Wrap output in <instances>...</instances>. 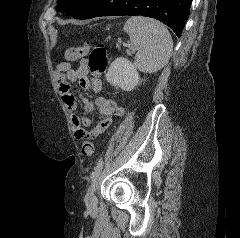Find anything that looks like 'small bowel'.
<instances>
[{
    "instance_id": "1",
    "label": "small bowel",
    "mask_w": 240,
    "mask_h": 238,
    "mask_svg": "<svg viewBox=\"0 0 240 238\" xmlns=\"http://www.w3.org/2000/svg\"><path fill=\"white\" fill-rule=\"evenodd\" d=\"M88 72V62L85 59L81 60L76 68H72L69 63L62 62L57 65L55 70L58 91L64 104L72 112L71 125L77 139H83L86 134L91 137L98 136L110 126L114 115L121 116L124 113V108L110 98L98 96L93 101L81 96L80 99L85 112H92L97 107L99 113L103 116V119L90 133L85 130V127L91 125V120L89 117L78 113L77 102L70 92L68 82H77L84 90L93 89L95 92H100L103 86L101 79H90Z\"/></svg>"
}]
</instances>
